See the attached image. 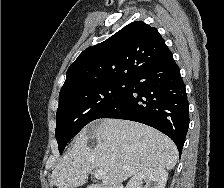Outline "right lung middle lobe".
Instances as JSON below:
<instances>
[{"instance_id": "obj_1", "label": "right lung middle lobe", "mask_w": 224, "mask_h": 188, "mask_svg": "<svg viewBox=\"0 0 224 188\" xmlns=\"http://www.w3.org/2000/svg\"><path fill=\"white\" fill-rule=\"evenodd\" d=\"M129 87V80H115L61 91L55 131L60 154L85 125L102 118L124 100Z\"/></svg>"}]
</instances>
